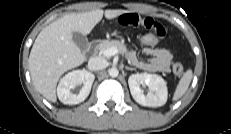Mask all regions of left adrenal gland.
Listing matches in <instances>:
<instances>
[{
	"label": "left adrenal gland",
	"mask_w": 231,
	"mask_h": 134,
	"mask_svg": "<svg viewBox=\"0 0 231 134\" xmlns=\"http://www.w3.org/2000/svg\"><path fill=\"white\" fill-rule=\"evenodd\" d=\"M125 69L126 70H131V71L136 70L135 68H131V67H127V66L125 67Z\"/></svg>",
	"instance_id": "1"
}]
</instances>
